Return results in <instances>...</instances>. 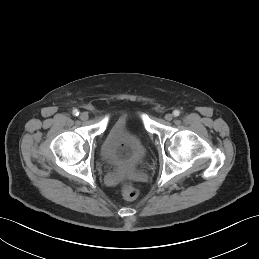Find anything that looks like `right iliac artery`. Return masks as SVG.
I'll return each instance as SVG.
<instances>
[{
    "label": "right iliac artery",
    "instance_id": "82829eb1",
    "mask_svg": "<svg viewBox=\"0 0 259 259\" xmlns=\"http://www.w3.org/2000/svg\"><path fill=\"white\" fill-rule=\"evenodd\" d=\"M73 115L78 116L79 115V111L77 109H74L73 110Z\"/></svg>",
    "mask_w": 259,
    "mask_h": 259
}]
</instances>
